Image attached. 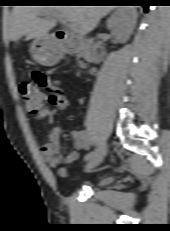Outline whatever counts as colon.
I'll list each match as a JSON object with an SVG mask.
<instances>
[{
  "label": "colon",
  "mask_w": 170,
  "mask_h": 231,
  "mask_svg": "<svg viewBox=\"0 0 170 231\" xmlns=\"http://www.w3.org/2000/svg\"><path fill=\"white\" fill-rule=\"evenodd\" d=\"M19 91L26 109L30 113H38L44 105V96L40 89L30 81H23L19 85Z\"/></svg>",
  "instance_id": "5ec220e1"
}]
</instances>
